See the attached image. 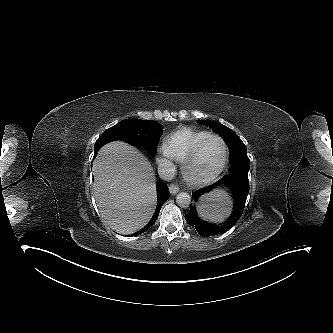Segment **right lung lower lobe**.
Masks as SVG:
<instances>
[{"mask_svg": "<svg viewBox=\"0 0 333 333\" xmlns=\"http://www.w3.org/2000/svg\"><path fill=\"white\" fill-rule=\"evenodd\" d=\"M114 140H122L125 141L129 144H132L127 138H125L122 135H119L117 133H113V132H106L104 131L102 133V135L98 138V140L95 142L94 145V157L97 155L99 149L106 143L110 142V141H114ZM133 145V144H132ZM157 193H158V204L156 207V210L154 212V215L152 216L151 220L148 222V224L142 228L140 231L132 234L131 236H135V235H140L142 233H144L145 231H147L157 220L159 212L161 210V207L163 206V204L169 199L170 197V192L169 189L167 187L166 184L164 183H158L157 184Z\"/></svg>", "mask_w": 333, "mask_h": 333, "instance_id": "98d812e1", "label": "right lung lower lobe"}]
</instances>
